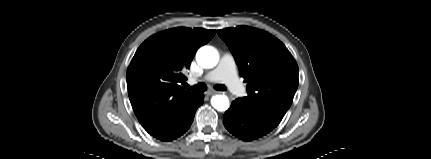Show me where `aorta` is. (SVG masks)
<instances>
[{
    "instance_id": "aorta-1",
    "label": "aorta",
    "mask_w": 431,
    "mask_h": 159,
    "mask_svg": "<svg viewBox=\"0 0 431 159\" xmlns=\"http://www.w3.org/2000/svg\"><path fill=\"white\" fill-rule=\"evenodd\" d=\"M196 60L203 68H213L219 61V55L215 48L203 46L197 51ZM211 105L217 111H226L229 108V99L225 95H215L211 98Z\"/></svg>"
}]
</instances>
